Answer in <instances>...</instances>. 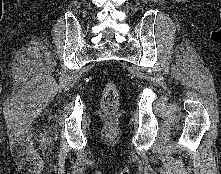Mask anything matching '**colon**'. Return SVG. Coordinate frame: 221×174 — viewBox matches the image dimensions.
I'll return each instance as SVG.
<instances>
[{
	"mask_svg": "<svg viewBox=\"0 0 221 174\" xmlns=\"http://www.w3.org/2000/svg\"><path fill=\"white\" fill-rule=\"evenodd\" d=\"M119 105V92L113 81H108L103 89L102 109L108 116L116 113Z\"/></svg>",
	"mask_w": 221,
	"mask_h": 174,
	"instance_id": "obj_1",
	"label": "colon"
}]
</instances>
